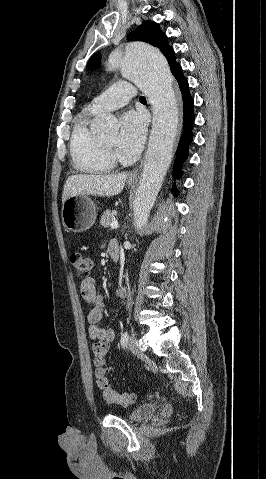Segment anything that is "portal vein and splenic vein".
<instances>
[{
  "mask_svg": "<svg viewBox=\"0 0 266 479\" xmlns=\"http://www.w3.org/2000/svg\"><path fill=\"white\" fill-rule=\"evenodd\" d=\"M111 228L113 229H116L118 228V222L117 221H113L111 224H110Z\"/></svg>",
  "mask_w": 266,
  "mask_h": 479,
  "instance_id": "obj_1",
  "label": "portal vein and splenic vein"
}]
</instances>
